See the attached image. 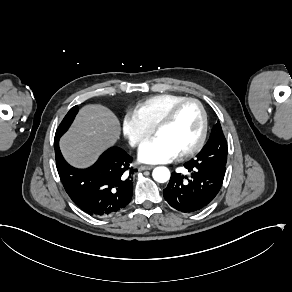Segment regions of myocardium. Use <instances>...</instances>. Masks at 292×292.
<instances>
[{
	"label": "myocardium",
	"mask_w": 292,
	"mask_h": 292,
	"mask_svg": "<svg viewBox=\"0 0 292 292\" xmlns=\"http://www.w3.org/2000/svg\"><path fill=\"white\" fill-rule=\"evenodd\" d=\"M186 103H194L198 107L199 112H200L201 124H200V132H199L197 140L195 141L193 145L181 151L180 152L181 156H187V155L197 152L202 147L205 141V137L207 133V115L203 107V104L198 99H195L192 97L183 98L173 103L171 106H169L167 110L160 116V118L158 119L157 123L154 126V131L157 133V130L159 128L165 126L166 124L170 123L174 119L179 108Z\"/></svg>",
	"instance_id": "1"
}]
</instances>
